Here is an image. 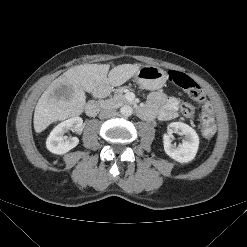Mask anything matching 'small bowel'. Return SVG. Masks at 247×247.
<instances>
[{"instance_id":"obj_1","label":"small bowel","mask_w":247,"mask_h":247,"mask_svg":"<svg viewBox=\"0 0 247 247\" xmlns=\"http://www.w3.org/2000/svg\"><path fill=\"white\" fill-rule=\"evenodd\" d=\"M179 100L175 97H168L161 91H154L149 95L145 109V119H152L158 116L162 120H170L178 115Z\"/></svg>"}]
</instances>
